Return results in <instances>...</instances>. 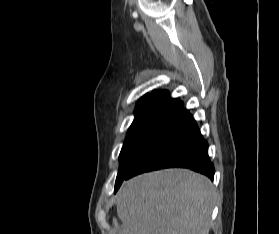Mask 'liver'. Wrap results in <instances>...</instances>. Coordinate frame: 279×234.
Returning a JSON list of instances; mask_svg holds the SVG:
<instances>
[{"mask_svg": "<svg viewBox=\"0 0 279 234\" xmlns=\"http://www.w3.org/2000/svg\"><path fill=\"white\" fill-rule=\"evenodd\" d=\"M214 190L188 169H166L125 181L119 191V234H209Z\"/></svg>", "mask_w": 279, "mask_h": 234, "instance_id": "1", "label": "liver"}]
</instances>
